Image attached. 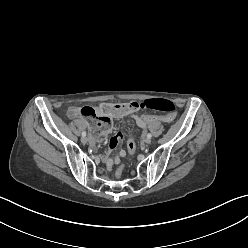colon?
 Masks as SVG:
<instances>
[{
	"mask_svg": "<svg viewBox=\"0 0 248 248\" xmlns=\"http://www.w3.org/2000/svg\"><path fill=\"white\" fill-rule=\"evenodd\" d=\"M138 109H149L162 111L167 114H156L149 115L145 113L138 114L141 118V125L143 129H146L149 125H158L162 122L170 123L175 117L176 106L168 99H149L141 103L129 102V103H115L103 104L101 110L95 107L85 106L80 110L81 116L90 119L91 134L92 138L96 142H102L105 140L106 136L111 132V117H122L130 110ZM136 149L135 141L133 137H130L127 141V151L130 154H134ZM124 172V166H120L117 170V176L121 177Z\"/></svg>",
	"mask_w": 248,
	"mask_h": 248,
	"instance_id": "colon-1",
	"label": "colon"
}]
</instances>
